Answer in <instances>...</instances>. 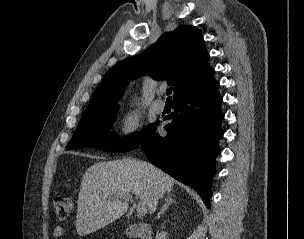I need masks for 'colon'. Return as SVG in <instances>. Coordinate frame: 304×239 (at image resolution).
<instances>
[{"instance_id":"obj_1","label":"colon","mask_w":304,"mask_h":239,"mask_svg":"<svg viewBox=\"0 0 304 239\" xmlns=\"http://www.w3.org/2000/svg\"><path fill=\"white\" fill-rule=\"evenodd\" d=\"M56 213L60 218H67L74 210V201L70 197L57 196L53 200Z\"/></svg>"}]
</instances>
